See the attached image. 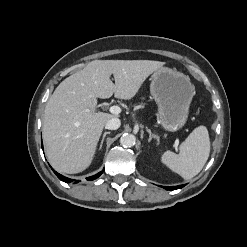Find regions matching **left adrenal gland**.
Here are the masks:
<instances>
[{
  "instance_id": "obj_1",
  "label": "left adrenal gland",
  "mask_w": 247,
  "mask_h": 247,
  "mask_svg": "<svg viewBox=\"0 0 247 247\" xmlns=\"http://www.w3.org/2000/svg\"><path fill=\"white\" fill-rule=\"evenodd\" d=\"M146 131L149 133L148 142H151L152 139H155L157 141V144H159V136L156 134H153L148 127H146Z\"/></svg>"
}]
</instances>
